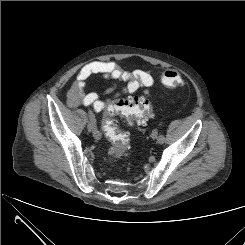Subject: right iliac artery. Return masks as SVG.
Returning a JSON list of instances; mask_svg holds the SVG:
<instances>
[{"mask_svg": "<svg viewBox=\"0 0 245 245\" xmlns=\"http://www.w3.org/2000/svg\"><path fill=\"white\" fill-rule=\"evenodd\" d=\"M88 115H89L90 122L92 124V129H93L94 134H97L99 136V138H101V135H100V133L97 129V126H96V119H95L93 112L91 110H89Z\"/></svg>", "mask_w": 245, "mask_h": 245, "instance_id": "obj_1", "label": "right iliac artery"}]
</instances>
